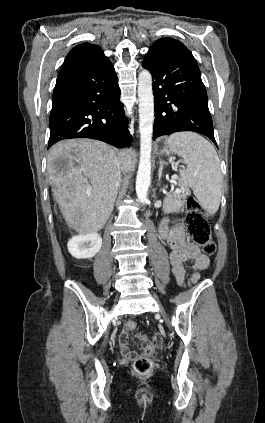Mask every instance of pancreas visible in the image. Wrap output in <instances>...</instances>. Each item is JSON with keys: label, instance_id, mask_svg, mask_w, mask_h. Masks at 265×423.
<instances>
[{"label": "pancreas", "instance_id": "pancreas-1", "mask_svg": "<svg viewBox=\"0 0 265 423\" xmlns=\"http://www.w3.org/2000/svg\"><path fill=\"white\" fill-rule=\"evenodd\" d=\"M181 187V192L177 193L176 191L167 194L164 199V212L165 213H177L180 210H183L185 204V198L189 193L188 188L182 183L179 182Z\"/></svg>", "mask_w": 265, "mask_h": 423}]
</instances>
